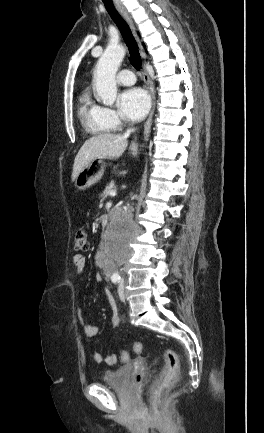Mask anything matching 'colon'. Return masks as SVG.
Returning a JSON list of instances; mask_svg holds the SVG:
<instances>
[{
    "label": "colon",
    "instance_id": "1",
    "mask_svg": "<svg viewBox=\"0 0 264 433\" xmlns=\"http://www.w3.org/2000/svg\"><path fill=\"white\" fill-rule=\"evenodd\" d=\"M89 248V239L85 230H78L74 239V249L79 252H85ZM133 351L137 354L142 352V345L140 342L133 343ZM164 355V368L159 376V384L162 387L172 386L179 374V358L174 350L166 348L163 352ZM121 360L127 362L129 360V353L123 351L121 353Z\"/></svg>",
    "mask_w": 264,
    "mask_h": 433
}]
</instances>
